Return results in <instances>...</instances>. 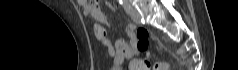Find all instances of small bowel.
Masks as SVG:
<instances>
[{"instance_id":"c3829d8e","label":"small bowel","mask_w":238,"mask_h":70,"mask_svg":"<svg viewBox=\"0 0 238 70\" xmlns=\"http://www.w3.org/2000/svg\"><path fill=\"white\" fill-rule=\"evenodd\" d=\"M77 2L86 17H91L100 24L94 27L96 38L108 48L109 54L114 59L116 66H119L125 59L131 58L139 53L134 25L130 24L125 29L130 37V43L119 40L115 45H112L110 40L106 37L105 29L101 26L108 25V22L101 12L99 2L94 3L87 0H78Z\"/></svg>"}]
</instances>
